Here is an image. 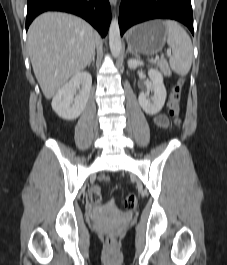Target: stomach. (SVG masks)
<instances>
[{"instance_id":"1","label":"stomach","mask_w":227,"mask_h":265,"mask_svg":"<svg viewBox=\"0 0 227 265\" xmlns=\"http://www.w3.org/2000/svg\"><path fill=\"white\" fill-rule=\"evenodd\" d=\"M166 39V27L157 20L137 25L127 34L129 48L146 55H154L160 52Z\"/></svg>"}]
</instances>
